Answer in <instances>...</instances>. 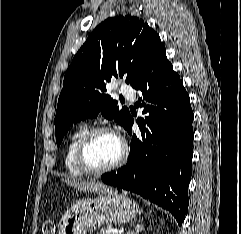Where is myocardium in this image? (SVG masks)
Returning <instances> with one entry per match:
<instances>
[{"label":"myocardium","instance_id":"obj_1","mask_svg":"<svg viewBox=\"0 0 241 234\" xmlns=\"http://www.w3.org/2000/svg\"><path fill=\"white\" fill-rule=\"evenodd\" d=\"M99 133H111L114 134L119 138L122 144V152L119 157V159L114 162L113 164L102 167V168H94L90 166L86 160V149L90 143V141L93 139L94 136H96ZM129 155V149L126 141L119 136L113 129L106 127V126H97L94 128H91L87 130L84 135L81 137L77 148H76V153H75V158H76V163L78 167L88 175H102L109 173L111 171H114L118 168H120L122 165H124L128 159Z\"/></svg>","mask_w":241,"mask_h":234}]
</instances>
